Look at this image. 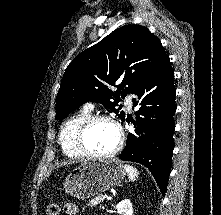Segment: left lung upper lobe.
Listing matches in <instances>:
<instances>
[{
  "label": "left lung upper lobe",
  "mask_w": 221,
  "mask_h": 215,
  "mask_svg": "<svg viewBox=\"0 0 221 215\" xmlns=\"http://www.w3.org/2000/svg\"><path fill=\"white\" fill-rule=\"evenodd\" d=\"M167 56L160 40L143 26L114 30L66 68L56 99V119L61 121L83 103L94 101L124 120L118 102L134 93ZM111 86L118 90L112 92Z\"/></svg>",
  "instance_id": "left-lung-upper-lobe-1"
}]
</instances>
